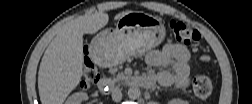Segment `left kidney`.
Returning <instances> with one entry per match:
<instances>
[{
	"instance_id": "obj_1",
	"label": "left kidney",
	"mask_w": 252,
	"mask_h": 104,
	"mask_svg": "<svg viewBox=\"0 0 252 104\" xmlns=\"http://www.w3.org/2000/svg\"><path fill=\"white\" fill-rule=\"evenodd\" d=\"M173 104H182L184 103V101L180 100V99H174L171 101Z\"/></svg>"
}]
</instances>
